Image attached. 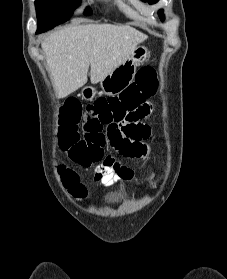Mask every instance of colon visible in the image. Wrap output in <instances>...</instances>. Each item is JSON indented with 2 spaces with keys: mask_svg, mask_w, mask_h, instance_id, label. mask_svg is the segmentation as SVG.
Instances as JSON below:
<instances>
[{
  "mask_svg": "<svg viewBox=\"0 0 227 279\" xmlns=\"http://www.w3.org/2000/svg\"><path fill=\"white\" fill-rule=\"evenodd\" d=\"M156 73L152 68L140 69L136 83L127 87L118 96L99 98L85 111L77 100L69 101L62 109L58 136L63 151L69 159L82 167L100 160L108 140H113L122 131L133 142L128 148L130 158H141L148 152L145 140L150 128L141 120L148 117L152 106L147 101L156 94ZM83 122V137L78 125ZM106 127L107 132H104ZM65 184L70 191L78 192L81 185L74 171L66 170Z\"/></svg>",
  "mask_w": 227,
  "mask_h": 279,
  "instance_id": "colon-1",
  "label": "colon"
}]
</instances>
